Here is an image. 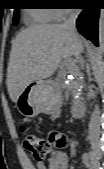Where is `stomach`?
Returning <instances> with one entry per match:
<instances>
[{"label": "stomach", "mask_w": 104, "mask_h": 169, "mask_svg": "<svg viewBox=\"0 0 104 169\" xmlns=\"http://www.w3.org/2000/svg\"><path fill=\"white\" fill-rule=\"evenodd\" d=\"M15 103L21 115L32 118L40 113H56L61 107L62 98L55 83L37 80L25 87Z\"/></svg>", "instance_id": "1"}]
</instances>
